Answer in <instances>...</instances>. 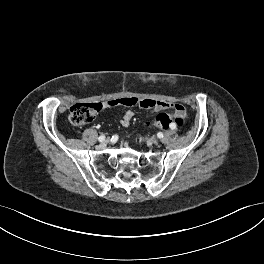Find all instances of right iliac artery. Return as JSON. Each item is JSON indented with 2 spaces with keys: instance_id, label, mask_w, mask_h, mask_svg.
Here are the masks:
<instances>
[{
  "instance_id": "82829eb1",
  "label": "right iliac artery",
  "mask_w": 264,
  "mask_h": 264,
  "mask_svg": "<svg viewBox=\"0 0 264 264\" xmlns=\"http://www.w3.org/2000/svg\"><path fill=\"white\" fill-rule=\"evenodd\" d=\"M104 139H105V135H101V136H99V138H98V140H99L100 142L104 141Z\"/></svg>"
}]
</instances>
